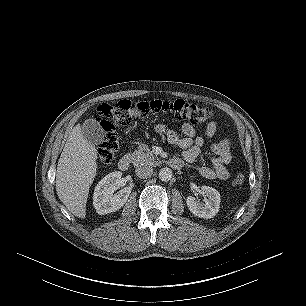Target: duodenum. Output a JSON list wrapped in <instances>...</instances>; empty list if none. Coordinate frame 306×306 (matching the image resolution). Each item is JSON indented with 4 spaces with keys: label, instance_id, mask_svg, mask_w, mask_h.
Returning <instances> with one entry per match:
<instances>
[{
    "label": "duodenum",
    "instance_id": "obj_1",
    "mask_svg": "<svg viewBox=\"0 0 306 306\" xmlns=\"http://www.w3.org/2000/svg\"><path fill=\"white\" fill-rule=\"evenodd\" d=\"M169 164L175 169H180L182 167V164L176 160H170ZM129 166H130L129 156L123 155L118 161V168L122 171H125L129 168Z\"/></svg>",
    "mask_w": 306,
    "mask_h": 306
}]
</instances>
